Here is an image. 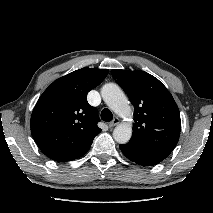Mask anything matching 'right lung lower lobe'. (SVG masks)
<instances>
[{
  "mask_svg": "<svg viewBox=\"0 0 213 213\" xmlns=\"http://www.w3.org/2000/svg\"><path fill=\"white\" fill-rule=\"evenodd\" d=\"M89 148L85 149L84 151H82L80 153L74 154V155L56 157V158H53V160L59 161V162L73 160V159L83 156L88 151Z\"/></svg>",
  "mask_w": 213,
  "mask_h": 213,
  "instance_id": "obj_1",
  "label": "right lung lower lobe"
}]
</instances>
